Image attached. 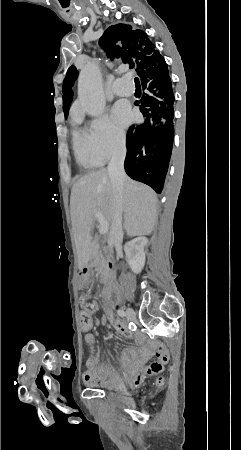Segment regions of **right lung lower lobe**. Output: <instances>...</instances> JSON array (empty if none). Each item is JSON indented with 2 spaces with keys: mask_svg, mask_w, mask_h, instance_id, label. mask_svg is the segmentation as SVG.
<instances>
[{
  "mask_svg": "<svg viewBox=\"0 0 241 450\" xmlns=\"http://www.w3.org/2000/svg\"><path fill=\"white\" fill-rule=\"evenodd\" d=\"M137 73L146 92L135 105L146 119L127 132L124 168L132 179L161 193L173 145L174 94L165 60Z\"/></svg>",
  "mask_w": 241,
  "mask_h": 450,
  "instance_id": "1",
  "label": "right lung lower lobe"
}]
</instances>
